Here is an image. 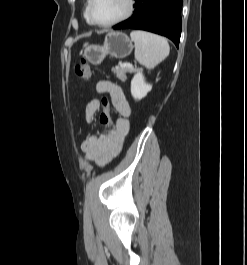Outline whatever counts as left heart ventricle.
I'll return each mask as SVG.
<instances>
[{
  "instance_id": "obj_1",
  "label": "left heart ventricle",
  "mask_w": 247,
  "mask_h": 265,
  "mask_svg": "<svg viewBox=\"0 0 247 265\" xmlns=\"http://www.w3.org/2000/svg\"><path fill=\"white\" fill-rule=\"evenodd\" d=\"M127 7V0H94L92 16L99 23H107L122 15Z\"/></svg>"
}]
</instances>
